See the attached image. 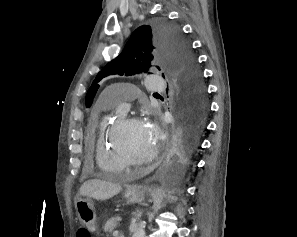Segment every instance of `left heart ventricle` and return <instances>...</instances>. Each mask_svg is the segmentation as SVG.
Segmentation results:
<instances>
[{"label":"left heart ventricle","instance_id":"1","mask_svg":"<svg viewBox=\"0 0 297 237\" xmlns=\"http://www.w3.org/2000/svg\"><path fill=\"white\" fill-rule=\"evenodd\" d=\"M121 140L126 150L134 158L138 159L147 157L156 148V143L147 135L141 121L126 127L122 133Z\"/></svg>","mask_w":297,"mask_h":237}]
</instances>
